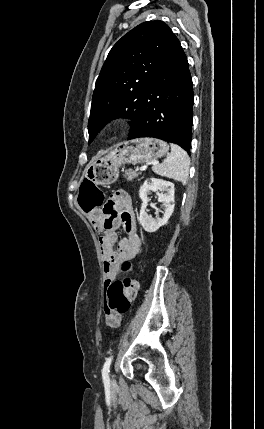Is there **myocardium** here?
Returning <instances> with one entry per match:
<instances>
[{
  "mask_svg": "<svg viewBox=\"0 0 264 429\" xmlns=\"http://www.w3.org/2000/svg\"><path fill=\"white\" fill-rule=\"evenodd\" d=\"M122 125V121L121 120H111L108 123H106V125L103 128V134L106 136H110L112 134H114Z\"/></svg>",
  "mask_w": 264,
  "mask_h": 429,
  "instance_id": "obj_1",
  "label": "myocardium"
}]
</instances>
